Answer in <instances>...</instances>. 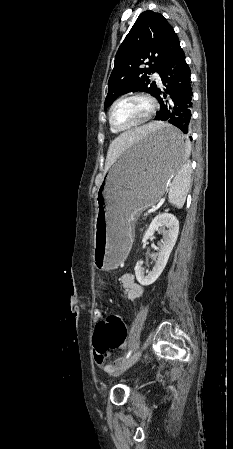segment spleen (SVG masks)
<instances>
[{
  "mask_svg": "<svg viewBox=\"0 0 233 449\" xmlns=\"http://www.w3.org/2000/svg\"><path fill=\"white\" fill-rule=\"evenodd\" d=\"M188 155L190 153V143L187 144ZM191 184V167L186 161L177 170V174L169 186V202L178 209L182 208Z\"/></svg>",
  "mask_w": 233,
  "mask_h": 449,
  "instance_id": "obj_1",
  "label": "spleen"
}]
</instances>
